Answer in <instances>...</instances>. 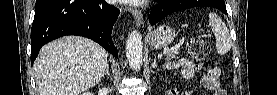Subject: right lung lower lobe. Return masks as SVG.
<instances>
[{"mask_svg": "<svg viewBox=\"0 0 277 95\" xmlns=\"http://www.w3.org/2000/svg\"><path fill=\"white\" fill-rule=\"evenodd\" d=\"M120 9L105 0H36L31 29V63L41 47L65 35L90 38L118 57L111 32Z\"/></svg>", "mask_w": 277, "mask_h": 95, "instance_id": "right-lung-lower-lobe-1", "label": "right lung lower lobe"}]
</instances>
